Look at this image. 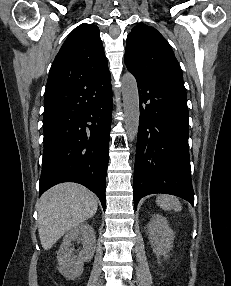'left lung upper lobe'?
<instances>
[{"label": "left lung upper lobe", "instance_id": "obj_1", "mask_svg": "<svg viewBox=\"0 0 231 286\" xmlns=\"http://www.w3.org/2000/svg\"><path fill=\"white\" fill-rule=\"evenodd\" d=\"M125 64L133 74L185 89L183 75L165 38L153 27L135 26L127 37Z\"/></svg>", "mask_w": 231, "mask_h": 286}]
</instances>
